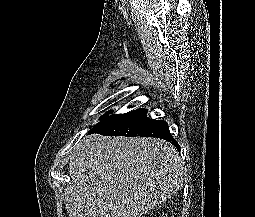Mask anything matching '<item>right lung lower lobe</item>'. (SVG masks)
<instances>
[{
	"label": "right lung lower lobe",
	"instance_id": "obj_1",
	"mask_svg": "<svg viewBox=\"0 0 255 217\" xmlns=\"http://www.w3.org/2000/svg\"><path fill=\"white\" fill-rule=\"evenodd\" d=\"M146 109H137L125 114L106 115L96 124L89 134L99 133L105 136H145L164 139L179 150L178 143L172 137L166 121L146 117Z\"/></svg>",
	"mask_w": 255,
	"mask_h": 217
}]
</instances>
